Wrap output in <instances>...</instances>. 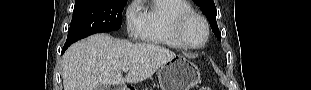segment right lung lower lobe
I'll use <instances>...</instances> for the list:
<instances>
[{"mask_svg": "<svg viewBox=\"0 0 311 90\" xmlns=\"http://www.w3.org/2000/svg\"><path fill=\"white\" fill-rule=\"evenodd\" d=\"M70 45H64V47H63V50H62V53H64L65 52V50L69 47Z\"/></svg>", "mask_w": 311, "mask_h": 90, "instance_id": "obj_1", "label": "right lung lower lobe"}]
</instances>
